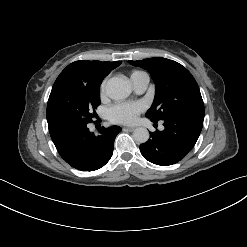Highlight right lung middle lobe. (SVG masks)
Instances as JSON below:
<instances>
[{
	"label": "right lung middle lobe",
	"mask_w": 247,
	"mask_h": 247,
	"mask_svg": "<svg viewBox=\"0 0 247 247\" xmlns=\"http://www.w3.org/2000/svg\"><path fill=\"white\" fill-rule=\"evenodd\" d=\"M99 85L62 82L52 87L47 104L50 135L69 126L85 125L100 105Z\"/></svg>",
	"instance_id": "right-lung-middle-lobe-1"
}]
</instances>
